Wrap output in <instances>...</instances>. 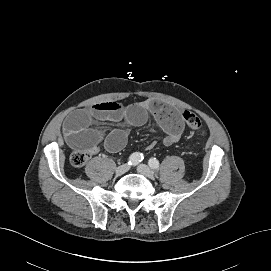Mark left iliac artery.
Listing matches in <instances>:
<instances>
[{
  "label": "left iliac artery",
  "mask_w": 271,
  "mask_h": 271,
  "mask_svg": "<svg viewBox=\"0 0 271 271\" xmlns=\"http://www.w3.org/2000/svg\"><path fill=\"white\" fill-rule=\"evenodd\" d=\"M148 164L154 170H158L159 169V161L156 158H151L149 160Z\"/></svg>",
  "instance_id": "1"
}]
</instances>
